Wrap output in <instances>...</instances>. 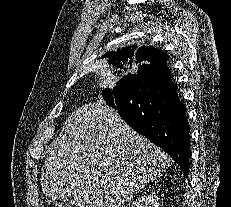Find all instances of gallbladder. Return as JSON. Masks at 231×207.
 Here are the masks:
<instances>
[{
  "label": "gallbladder",
  "mask_w": 231,
  "mask_h": 207,
  "mask_svg": "<svg viewBox=\"0 0 231 207\" xmlns=\"http://www.w3.org/2000/svg\"><path fill=\"white\" fill-rule=\"evenodd\" d=\"M65 201L68 203V205H70V207L72 206V200L70 197L65 198Z\"/></svg>",
  "instance_id": "gallbladder-1"
}]
</instances>
